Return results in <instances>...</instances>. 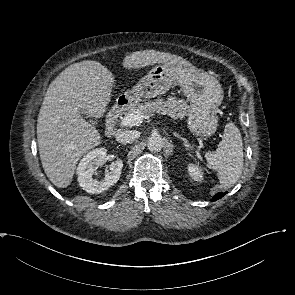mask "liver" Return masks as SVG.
Instances as JSON below:
<instances>
[{
  "label": "liver",
  "instance_id": "1",
  "mask_svg": "<svg viewBox=\"0 0 295 295\" xmlns=\"http://www.w3.org/2000/svg\"><path fill=\"white\" fill-rule=\"evenodd\" d=\"M156 63L192 66L180 56L155 50L137 51L122 62L125 69ZM115 80L97 61L85 60L63 70L49 85L37 120V141L43 169L58 188L70 185L83 154L101 143L100 133L81 113L100 118Z\"/></svg>",
  "mask_w": 295,
  "mask_h": 295
}]
</instances>
